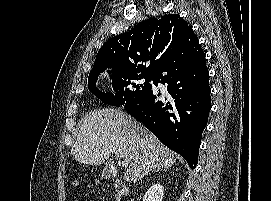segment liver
Segmentation results:
<instances>
[{"mask_svg":"<svg viewBox=\"0 0 271 201\" xmlns=\"http://www.w3.org/2000/svg\"><path fill=\"white\" fill-rule=\"evenodd\" d=\"M74 159L83 164L100 165L111 154L129 161L124 179L136 182L156 168H170L175 154L157 137L127 113L113 108L87 114L71 149Z\"/></svg>","mask_w":271,"mask_h":201,"instance_id":"liver-1","label":"liver"}]
</instances>
